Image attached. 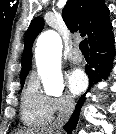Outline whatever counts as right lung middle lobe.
I'll return each mask as SVG.
<instances>
[{
  "label": "right lung middle lobe",
  "mask_w": 116,
  "mask_h": 134,
  "mask_svg": "<svg viewBox=\"0 0 116 134\" xmlns=\"http://www.w3.org/2000/svg\"><path fill=\"white\" fill-rule=\"evenodd\" d=\"M24 81H25V77H22L21 78V86L23 87V85H24Z\"/></svg>",
  "instance_id": "right-lung-middle-lobe-1"
}]
</instances>
